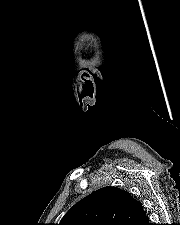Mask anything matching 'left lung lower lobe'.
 <instances>
[{
  "label": "left lung lower lobe",
  "instance_id": "left-lung-lower-lobe-1",
  "mask_svg": "<svg viewBox=\"0 0 180 225\" xmlns=\"http://www.w3.org/2000/svg\"><path fill=\"white\" fill-rule=\"evenodd\" d=\"M147 220L145 213L141 214L137 219H135L130 225H146Z\"/></svg>",
  "mask_w": 180,
  "mask_h": 225
}]
</instances>
